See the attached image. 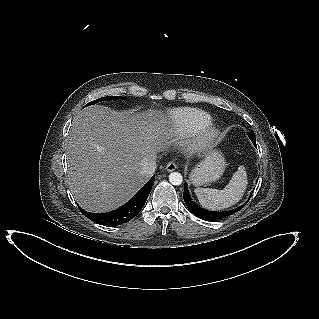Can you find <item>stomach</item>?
<instances>
[{
    "mask_svg": "<svg viewBox=\"0 0 319 319\" xmlns=\"http://www.w3.org/2000/svg\"><path fill=\"white\" fill-rule=\"evenodd\" d=\"M225 167L223 156L213 151L195 166L190 174V180L195 186L214 182L223 175Z\"/></svg>",
    "mask_w": 319,
    "mask_h": 319,
    "instance_id": "stomach-1",
    "label": "stomach"
}]
</instances>
